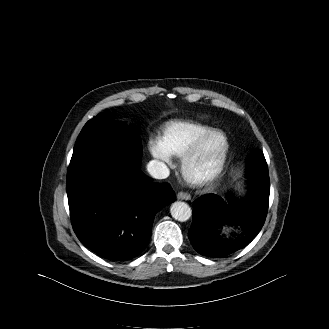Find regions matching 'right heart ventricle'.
<instances>
[{
  "mask_svg": "<svg viewBox=\"0 0 329 329\" xmlns=\"http://www.w3.org/2000/svg\"><path fill=\"white\" fill-rule=\"evenodd\" d=\"M212 130L208 125L192 121H170L162 129L159 143L171 155H182L202 135Z\"/></svg>",
  "mask_w": 329,
  "mask_h": 329,
  "instance_id": "obj_1",
  "label": "right heart ventricle"
}]
</instances>
